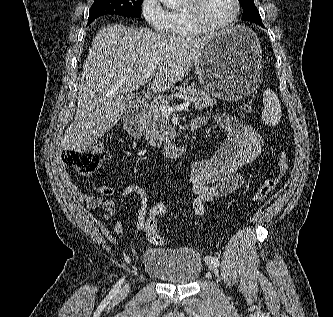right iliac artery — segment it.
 <instances>
[{
	"label": "right iliac artery",
	"mask_w": 333,
	"mask_h": 317,
	"mask_svg": "<svg viewBox=\"0 0 333 317\" xmlns=\"http://www.w3.org/2000/svg\"><path fill=\"white\" fill-rule=\"evenodd\" d=\"M123 282H124V278L120 279V280L114 285V287H113V289H112V292H113L114 294H116V293L119 291V289L121 288Z\"/></svg>",
	"instance_id": "obj_1"
}]
</instances>
